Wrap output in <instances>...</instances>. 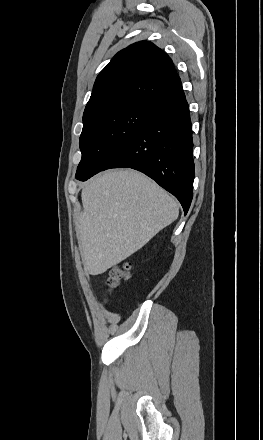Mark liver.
<instances>
[{"instance_id":"1","label":"liver","mask_w":263,"mask_h":440,"mask_svg":"<svg viewBox=\"0 0 263 440\" xmlns=\"http://www.w3.org/2000/svg\"><path fill=\"white\" fill-rule=\"evenodd\" d=\"M77 232L84 270L106 272L179 215L176 200L140 172L110 170L85 184Z\"/></svg>"}]
</instances>
